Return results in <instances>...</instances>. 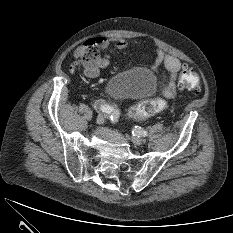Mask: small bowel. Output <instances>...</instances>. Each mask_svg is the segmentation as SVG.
I'll list each match as a JSON object with an SVG mask.
<instances>
[{"label":"small bowel","mask_w":233,"mask_h":233,"mask_svg":"<svg viewBox=\"0 0 233 233\" xmlns=\"http://www.w3.org/2000/svg\"><path fill=\"white\" fill-rule=\"evenodd\" d=\"M100 48L106 49L110 46V44H113L116 48H124L126 46V41L123 39H108L105 37H100L97 39H94ZM81 50H78L76 52V56H80ZM163 64L168 72V78L166 85L163 89V94L167 99H172L175 97L177 92V82L180 77L182 64L181 62L174 56L168 55L163 53L162 50L157 49L156 50V58L154 67H157L158 65ZM108 65V57H102L96 60L93 63H90L85 68V74L87 77L95 78L100 74V71L104 69Z\"/></svg>","instance_id":"1"}]
</instances>
